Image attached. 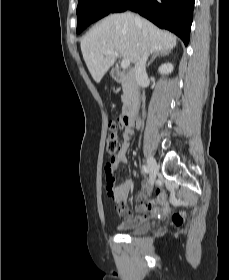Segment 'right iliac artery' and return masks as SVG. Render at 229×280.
<instances>
[{"mask_svg": "<svg viewBox=\"0 0 229 280\" xmlns=\"http://www.w3.org/2000/svg\"><path fill=\"white\" fill-rule=\"evenodd\" d=\"M142 171L145 174H149V169H148V167L146 165H142Z\"/></svg>", "mask_w": 229, "mask_h": 280, "instance_id": "1", "label": "right iliac artery"}]
</instances>
